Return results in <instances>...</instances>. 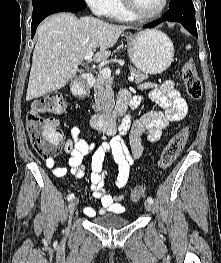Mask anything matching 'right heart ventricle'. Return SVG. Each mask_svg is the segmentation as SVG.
I'll return each instance as SVG.
<instances>
[{
    "instance_id": "obj_1",
    "label": "right heart ventricle",
    "mask_w": 221,
    "mask_h": 263,
    "mask_svg": "<svg viewBox=\"0 0 221 263\" xmlns=\"http://www.w3.org/2000/svg\"><path fill=\"white\" fill-rule=\"evenodd\" d=\"M109 16L119 21H133L136 19L125 9L122 0H114Z\"/></svg>"
}]
</instances>
